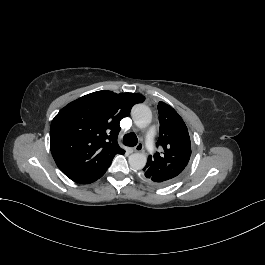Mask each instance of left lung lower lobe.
Here are the masks:
<instances>
[{
  "label": "left lung lower lobe",
  "instance_id": "obj_1",
  "mask_svg": "<svg viewBox=\"0 0 265 265\" xmlns=\"http://www.w3.org/2000/svg\"><path fill=\"white\" fill-rule=\"evenodd\" d=\"M143 179H144L146 182L150 183V184L157 185V184L152 183L147 177H145V176H144V173H143Z\"/></svg>",
  "mask_w": 265,
  "mask_h": 265
}]
</instances>
